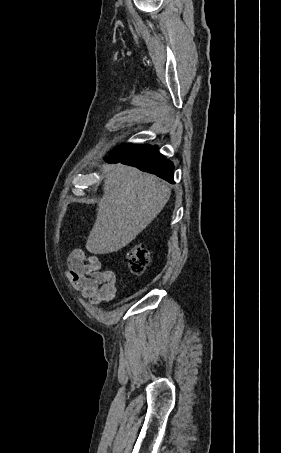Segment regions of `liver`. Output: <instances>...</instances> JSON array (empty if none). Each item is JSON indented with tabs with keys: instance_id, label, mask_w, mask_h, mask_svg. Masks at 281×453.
<instances>
[{
	"instance_id": "obj_1",
	"label": "liver",
	"mask_w": 281,
	"mask_h": 453,
	"mask_svg": "<svg viewBox=\"0 0 281 453\" xmlns=\"http://www.w3.org/2000/svg\"><path fill=\"white\" fill-rule=\"evenodd\" d=\"M104 194L97 206L96 222L86 241L94 255L120 251L148 227L161 212L171 190L155 174L125 164H104Z\"/></svg>"
}]
</instances>
